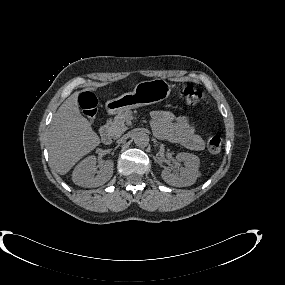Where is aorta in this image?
<instances>
[{
  "instance_id": "obj_1",
  "label": "aorta",
  "mask_w": 285,
  "mask_h": 285,
  "mask_svg": "<svg viewBox=\"0 0 285 285\" xmlns=\"http://www.w3.org/2000/svg\"><path fill=\"white\" fill-rule=\"evenodd\" d=\"M134 143L140 148H144L149 144V136L145 132H137L134 136Z\"/></svg>"
}]
</instances>
